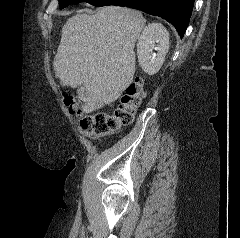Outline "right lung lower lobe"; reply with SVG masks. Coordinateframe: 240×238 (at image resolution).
I'll return each instance as SVG.
<instances>
[{"instance_id":"98d812e1","label":"right lung lower lobe","mask_w":240,"mask_h":238,"mask_svg":"<svg viewBox=\"0 0 240 238\" xmlns=\"http://www.w3.org/2000/svg\"><path fill=\"white\" fill-rule=\"evenodd\" d=\"M127 6L169 21L181 38L187 29L194 0H100L94 6Z\"/></svg>"}]
</instances>
